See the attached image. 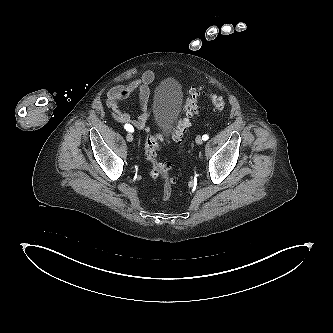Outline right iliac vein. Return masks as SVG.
<instances>
[{"label":"right iliac vein","instance_id":"63e3f726","mask_svg":"<svg viewBox=\"0 0 333 333\" xmlns=\"http://www.w3.org/2000/svg\"><path fill=\"white\" fill-rule=\"evenodd\" d=\"M126 139H127L128 142H132V141H133V135L130 134V133H128V134L126 135Z\"/></svg>","mask_w":333,"mask_h":333}]
</instances>
